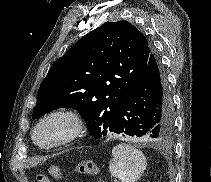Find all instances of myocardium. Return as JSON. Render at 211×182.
<instances>
[{"label":"myocardium","mask_w":211,"mask_h":182,"mask_svg":"<svg viewBox=\"0 0 211 182\" xmlns=\"http://www.w3.org/2000/svg\"><path fill=\"white\" fill-rule=\"evenodd\" d=\"M53 118L68 119L71 122V128L61 138L55 141L43 143L37 138V132L44 123ZM85 127H86L85 117L79 111L72 108H59L52 110L51 112L47 113L37 121L32 130V139L34 143L42 149L56 148L64 144H67L72 140L76 139L77 137H79L85 130Z\"/></svg>","instance_id":"f54148a6"}]
</instances>
